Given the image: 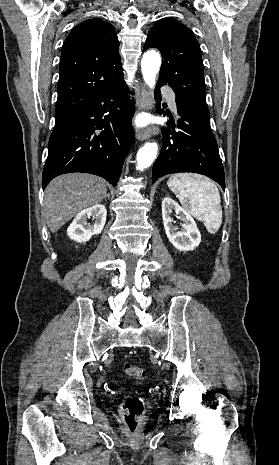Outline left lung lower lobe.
<instances>
[{
    "label": "left lung lower lobe",
    "mask_w": 279,
    "mask_h": 465,
    "mask_svg": "<svg viewBox=\"0 0 279 465\" xmlns=\"http://www.w3.org/2000/svg\"><path fill=\"white\" fill-rule=\"evenodd\" d=\"M177 111L180 131L171 130L176 126L172 121L162 129V150L152 169V182L166 174L194 172L212 178L225 190L224 169L210 122L192 111L180 107ZM157 112L161 113L159 106Z\"/></svg>",
    "instance_id": "left-lung-lower-lobe-1"
}]
</instances>
